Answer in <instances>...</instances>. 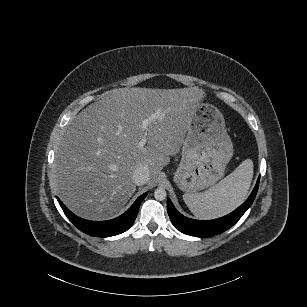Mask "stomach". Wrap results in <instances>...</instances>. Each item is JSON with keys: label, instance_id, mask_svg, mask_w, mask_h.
<instances>
[{"label": "stomach", "instance_id": "0dacf381", "mask_svg": "<svg viewBox=\"0 0 307 307\" xmlns=\"http://www.w3.org/2000/svg\"><path fill=\"white\" fill-rule=\"evenodd\" d=\"M232 156L233 144L222 113L209 103H198L190 117L174 182L187 193L208 188L224 176Z\"/></svg>", "mask_w": 307, "mask_h": 307}]
</instances>
